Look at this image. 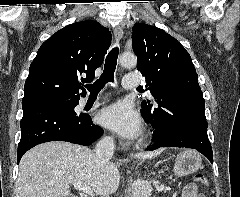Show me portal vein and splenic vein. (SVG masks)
Returning <instances> with one entry per match:
<instances>
[{
    "label": "portal vein and splenic vein",
    "instance_id": "obj_1",
    "mask_svg": "<svg viewBox=\"0 0 240 197\" xmlns=\"http://www.w3.org/2000/svg\"><path fill=\"white\" fill-rule=\"evenodd\" d=\"M73 186H74L75 189H77L79 191H82L85 194L94 197V193H93V191L91 190L90 187H88V186H86L84 184H81V183H74Z\"/></svg>",
    "mask_w": 240,
    "mask_h": 197
}]
</instances>
